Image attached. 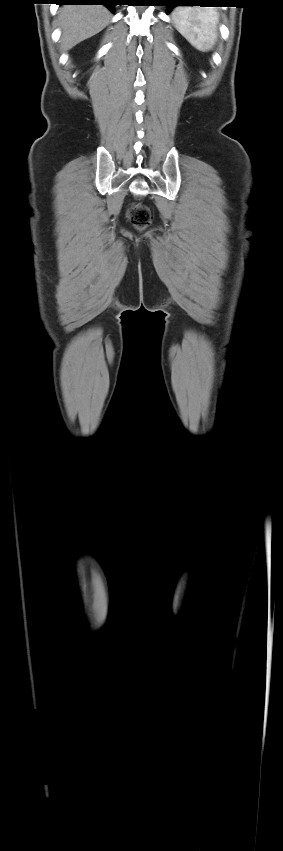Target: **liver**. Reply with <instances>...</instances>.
Masks as SVG:
<instances>
[{
  "label": "liver",
  "instance_id": "1",
  "mask_svg": "<svg viewBox=\"0 0 283 851\" xmlns=\"http://www.w3.org/2000/svg\"><path fill=\"white\" fill-rule=\"evenodd\" d=\"M110 12L101 5H69L58 14L62 31L61 49L69 50L102 31L110 22Z\"/></svg>",
  "mask_w": 283,
  "mask_h": 851
}]
</instances>
